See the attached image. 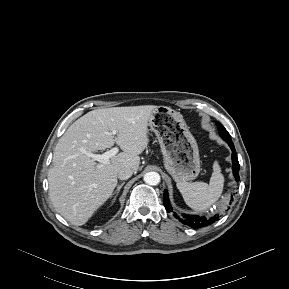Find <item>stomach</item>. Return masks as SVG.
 Here are the masks:
<instances>
[{
    "mask_svg": "<svg viewBox=\"0 0 289 289\" xmlns=\"http://www.w3.org/2000/svg\"><path fill=\"white\" fill-rule=\"evenodd\" d=\"M157 136L164 166L176 182L195 179L200 172L197 142L180 112L167 106H156L148 123Z\"/></svg>",
    "mask_w": 289,
    "mask_h": 289,
    "instance_id": "1",
    "label": "stomach"
}]
</instances>
